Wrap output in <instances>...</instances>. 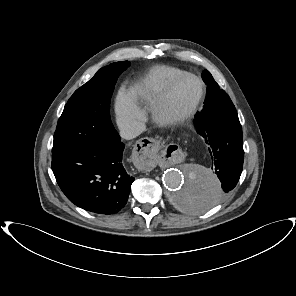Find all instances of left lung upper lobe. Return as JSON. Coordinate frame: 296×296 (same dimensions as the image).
<instances>
[{
	"mask_svg": "<svg viewBox=\"0 0 296 296\" xmlns=\"http://www.w3.org/2000/svg\"><path fill=\"white\" fill-rule=\"evenodd\" d=\"M202 78L207 85V94L204 101V105H206L214 97L226 93L224 90L219 88L218 84L215 82V80L213 79L209 71L207 70L203 71Z\"/></svg>",
	"mask_w": 296,
	"mask_h": 296,
	"instance_id": "1",
	"label": "left lung upper lobe"
}]
</instances>
